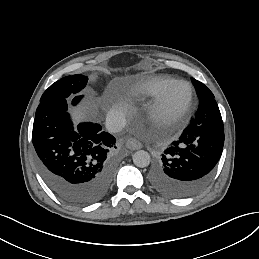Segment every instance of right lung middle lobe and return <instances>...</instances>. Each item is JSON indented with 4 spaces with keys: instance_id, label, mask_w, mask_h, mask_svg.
<instances>
[{
    "instance_id": "dd1d6c3e",
    "label": "right lung middle lobe",
    "mask_w": 259,
    "mask_h": 259,
    "mask_svg": "<svg viewBox=\"0 0 259 259\" xmlns=\"http://www.w3.org/2000/svg\"><path fill=\"white\" fill-rule=\"evenodd\" d=\"M88 78L81 74L66 76L53 83L41 96L40 102L57 99L72 100V104L76 105L82 95H78L87 84Z\"/></svg>"
}]
</instances>
